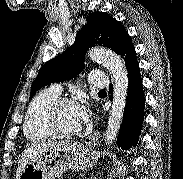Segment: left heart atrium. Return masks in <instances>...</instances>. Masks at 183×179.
<instances>
[{
	"label": "left heart atrium",
	"mask_w": 183,
	"mask_h": 179,
	"mask_svg": "<svg viewBox=\"0 0 183 179\" xmlns=\"http://www.w3.org/2000/svg\"><path fill=\"white\" fill-rule=\"evenodd\" d=\"M89 118V112L88 110H86L85 108H81V119H82V123L84 124L85 122H87Z\"/></svg>",
	"instance_id": "39dd6f15"
}]
</instances>
